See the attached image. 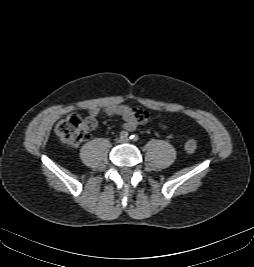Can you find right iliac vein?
<instances>
[{"label": "right iliac vein", "mask_w": 254, "mask_h": 267, "mask_svg": "<svg viewBox=\"0 0 254 267\" xmlns=\"http://www.w3.org/2000/svg\"><path fill=\"white\" fill-rule=\"evenodd\" d=\"M122 139H123V138H119V139H117V142H118V143H121V142H122Z\"/></svg>", "instance_id": "obj_1"}]
</instances>
